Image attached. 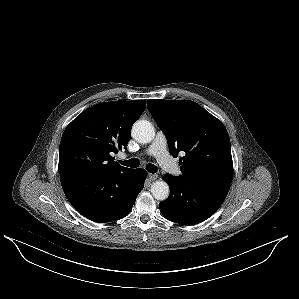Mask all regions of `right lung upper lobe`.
I'll list each match as a JSON object with an SVG mask.
<instances>
[{"label": "right lung upper lobe", "mask_w": 299, "mask_h": 299, "mask_svg": "<svg viewBox=\"0 0 299 299\" xmlns=\"http://www.w3.org/2000/svg\"><path fill=\"white\" fill-rule=\"evenodd\" d=\"M145 106L144 100L104 102L77 116L60 142V180L133 170L119 165L111 154L126 147L131 127Z\"/></svg>", "instance_id": "1"}]
</instances>
